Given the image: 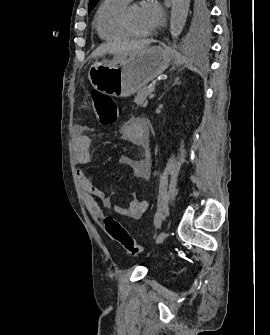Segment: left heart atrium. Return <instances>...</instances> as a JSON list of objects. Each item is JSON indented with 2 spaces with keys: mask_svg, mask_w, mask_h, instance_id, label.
<instances>
[{
  "mask_svg": "<svg viewBox=\"0 0 270 335\" xmlns=\"http://www.w3.org/2000/svg\"><path fill=\"white\" fill-rule=\"evenodd\" d=\"M141 17L145 33H153L165 21L164 13L155 1H148L141 7Z\"/></svg>",
  "mask_w": 270,
  "mask_h": 335,
  "instance_id": "left-heart-atrium-1",
  "label": "left heart atrium"
}]
</instances>
